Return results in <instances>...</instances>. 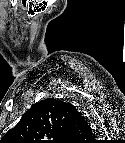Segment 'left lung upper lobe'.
<instances>
[{
  "label": "left lung upper lobe",
  "mask_w": 125,
  "mask_h": 143,
  "mask_svg": "<svg viewBox=\"0 0 125 143\" xmlns=\"http://www.w3.org/2000/svg\"><path fill=\"white\" fill-rule=\"evenodd\" d=\"M67 108L64 102L53 98L38 102L24 114L14 133L19 139L27 137L26 140L57 133L66 125Z\"/></svg>",
  "instance_id": "5c2ea615"
}]
</instances>
